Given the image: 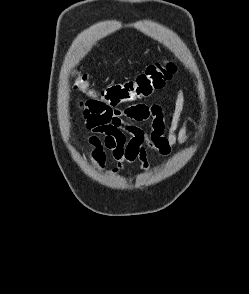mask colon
<instances>
[{"label": "colon", "mask_w": 249, "mask_h": 294, "mask_svg": "<svg viewBox=\"0 0 249 294\" xmlns=\"http://www.w3.org/2000/svg\"><path fill=\"white\" fill-rule=\"evenodd\" d=\"M175 70L174 62L163 59L149 65L134 79L110 85L100 91L93 90L88 83L87 75L77 70L74 74V84L76 89L88 97L87 102L114 107L151 96L154 91L164 86Z\"/></svg>", "instance_id": "colon-1"}]
</instances>
